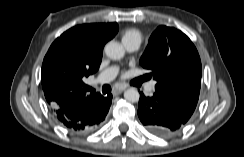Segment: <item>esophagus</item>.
<instances>
[{
	"label": "esophagus",
	"mask_w": 244,
	"mask_h": 157,
	"mask_svg": "<svg viewBox=\"0 0 244 157\" xmlns=\"http://www.w3.org/2000/svg\"><path fill=\"white\" fill-rule=\"evenodd\" d=\"M126 89V86L125 85H120L119 87L115 88L113 91H112V94L115 96V95H118L120 94L121 92H123L124 90Z\"/></svg>",
	"instance_id": "esophagus-1"
}]
</instances>
